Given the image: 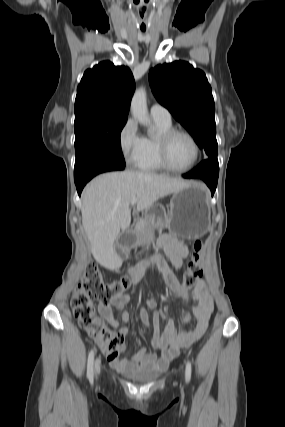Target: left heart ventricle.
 <instances>
[{
	"mask_svg": "<svg viewBox=\"0 0 285 427\" xmlns=\"http://www.w3.org/2000/svg\"><path fill=\"white\" fill-rule=\"evenodd\" d=\"M168 158L172 166L185 168L190 165L194 158V146L184 135L175 136L168 149Z\"/></svg>",
	"mask_w": 285,
	"mask_h": 427,
	"instance_id": "1",
	"label": "left heart ventricle"
}]
</instances>
